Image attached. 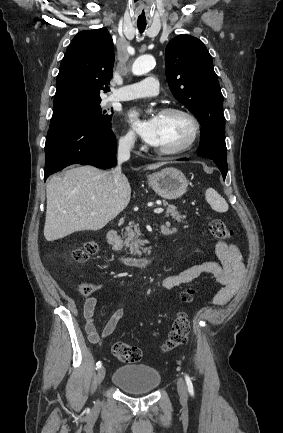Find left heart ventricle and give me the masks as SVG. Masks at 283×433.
Listing matches in <instances>:
<instances>
[{
    "label": "left heart ventricle",
    "instance_id": "left-heart-ventricle-1",
    "mask_svg": "<svg viewBox=\"0 0 283 433\" xmlns=\"http://www.w3.org/2000/svg\"><path fill=\"white\" fill-rule=\"evenodd\" d=\"M161 143L159 151H171L185 144L192 134L190 120L182 114H160Z\"/></svg>",
    "mask_w": 283,
    "mask_h": 433
}]
</instances>
